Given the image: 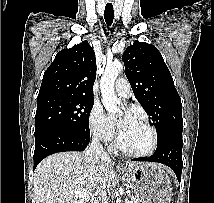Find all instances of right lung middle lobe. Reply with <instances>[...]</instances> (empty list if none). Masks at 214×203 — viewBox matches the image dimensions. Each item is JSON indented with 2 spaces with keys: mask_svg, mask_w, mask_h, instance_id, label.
<instances>
[{
  "mask_svg": "<svg viewBox=\"0 0 214 203\" xmlns=\"http://www.w3.org/2000/svg\"><path fill=\"white\" fill-rule=\"evenodd\" d=\"M93 104V98L81 96L52 95L39 98L34 135L59 129L90 136L89 115Z\"/></svg>",
  "mask_w": 214,
  "mask_h": 203,
  "instance_id": "right-lung-middle-lobe-1",
  "label": "right lung middle lobe"
}]
</instances>
